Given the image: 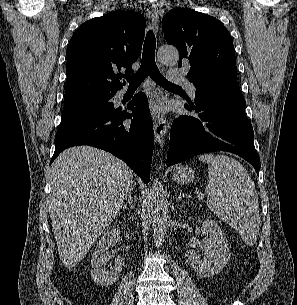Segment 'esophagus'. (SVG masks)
Segmentation results:
<instances>
[{
    "label": "esophagus",
    "mask_w": 297,
    "mask_h": 305,
    "mask_svg": "<svg viewBox=\"0 0 297 305\" xmlns=\"http://www.w3.org/2000/svg\"><path fill=\"white\" fill-rule=\"evenodd\" d=\"M150 15L152 19L154 32H158V22H159V10L158 6L153 3L151 5ZM166 120L164 117H158L154 120V137L155 141L160 145L164 144L165 134H166Z\"/></svg>",
    "instance_id": "34e87169"
}]
</instances>
